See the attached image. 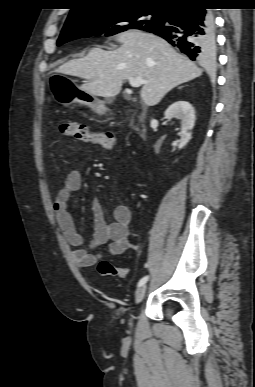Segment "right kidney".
I'll use <instances>...</instances> for the list:
<instances>
[{
  "mask_svg": "<svg viewBox=\"0 0 255 387\" xmlns=\"http://www.w3.org/2000/svg\"><path fill=\"white\" fill-rule=\"evenodd\" d=\"M165 118L168 120H171L172 118L181 120L179 149L183 148L191 139V130L195 123V111L193 106L187 101H177L170 105L165 111Z\"/></svg>",
  "mask_w": 255,
  "mask_h": 387,
  "instance_id": "1",
  "label": "right kidney"
}]
</instances>
